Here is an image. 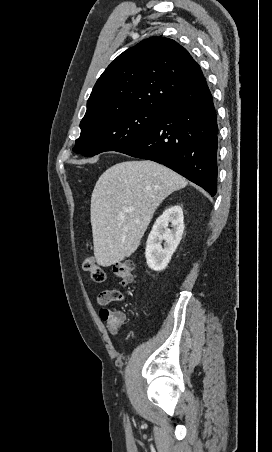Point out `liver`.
Returning a JSON list of instances; mask_svg holds the SVG:
<instances>
[{
    "label": "liver",
    "instance_id": "1",
    "mask_svg": "<svg viewBox=\"0 0 272 452\" xmlns=\"http://www.w3.org/2000/svg\"><path fill=\"white\" fill-rule=\"evenodd\" d=\"M186 185L181 175L150 160L125 161L108 168L91 196L97 264L109 267L131 256L158 206Z\"/></svg>",
    "mask_w": 272,
    "mask_h": 452
}]
</instances>
